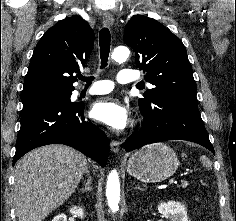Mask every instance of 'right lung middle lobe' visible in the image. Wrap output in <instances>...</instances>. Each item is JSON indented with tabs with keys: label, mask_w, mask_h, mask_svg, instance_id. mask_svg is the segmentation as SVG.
I'll list each match as a JSON object with an SVG mask.
<instances>
[{
	"label": "right lung middle lobe",
	"mask_w": 236,
	"mask_h": 221,
	"mask_svg": "<svg viewBox=\"0 0 236 221\" xmlns=\"http://www.w3.org/2000/svg\"><path fill=\"white\" fill-rule=\"evenodd\" d=\"M73 90L65 89H45L21 94L23 104L39 100H58L70 102V96Z\"/></svg>",
	"instance_id": "1"
}]
</instances>
